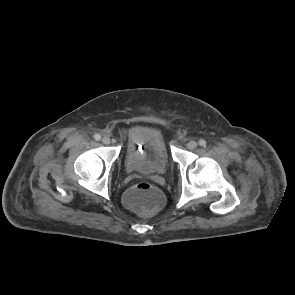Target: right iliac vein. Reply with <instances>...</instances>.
I'll return each mask as SVG.
<instances>
[{"label":"right iliac vein","instance_id":"right-iliac-vein-1","mask_svg":"<svg viewBox=\"0 0 295 295\" xmlns=\"http://www.w3.org/2000/svg\"><path fill=\"white\" fill-rule=\"evenodd\" d=\"M111 142L110 138L108 136H104L102 138V143L105 144V145H109Z\"/></svg>","mask_w":295,"mask_h":295}]
</instances>
